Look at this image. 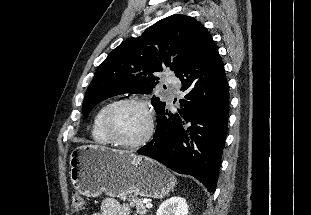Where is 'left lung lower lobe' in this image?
<instances>
[{"label": "left lung lower lobe", "instance_id": "1", "mask_svg": "<svg viewBox=\"0 0 311 215\" xmlns=\"http://www.w3.org/2000/svg\"><path fill=\"white\" fill-rule=\"evenodd\" d=\"M186 92L177 113L166 106L157 113L151 142L137 152L216 189L229 114V88L223 62L212 37L175 71Z\"/></svg>", "mask_w": 311, "mask_h": 215}]
</instances>
